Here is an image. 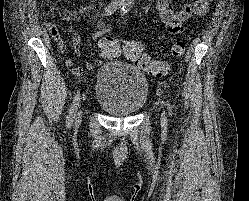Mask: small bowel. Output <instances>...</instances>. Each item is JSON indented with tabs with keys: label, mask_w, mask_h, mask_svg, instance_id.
I'll list each match as a JSON object with an SVG mask.
<instances>
[{
	"label": "small bowel",
	"mask_w": 249,
	"mask_h": 201,
	"mask_svg": "<svg viewBox=\"0 0 249 201\" xmlns=\"http://www.w3.org/2000/svg\"><path fill=\"white\" fill-rule=\"evenodd\" d=\"M174 0H156V10L159 12L161 22L165 29L171 34H179L185 30L186 22L192 17L204 16L209 9V5L213 0H189L183 5L180 10H173L171 4ZM45 28L48 30L54 41L57 43L58 49L61 52L66 50L65 42L60 34L57 25L54 22H45ZM112 29L110 24L102 25L94 34L93 39L98 40L104 34L108 33ZM72 34V47L76 54L80 53L81 49V36L73 29H70ZM101 60L94 62H87L84 66L74 67L72 73L75 76L80 75L83 71H91L96 66L100 65ZM65 64L67 67H73L74 61L71 58L66 59Z\"/></svg>",
	"instance_id": "small-bowel-1"
}]
</instances>
